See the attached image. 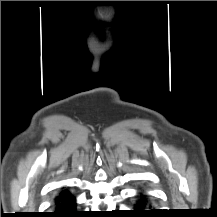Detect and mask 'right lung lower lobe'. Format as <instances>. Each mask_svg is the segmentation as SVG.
<instances>
[{
  "instance_id": "obj_1",
  "label": "right lung lower lobe",
  "mask_w": 217,
  "mask_h": 217,
  "mask_svg": "<svg viewBox=\"0 0 217 217\" xmlns=\"http://www.w3.org/2000/svg\"><path fill=\"white\" fill-rule=\"evenodd\" d=\"M75 197L68 191H61L54 200V212L47 213L44 217H84L85 215L76 211Z\"/></svg>"
}]
</instances>
